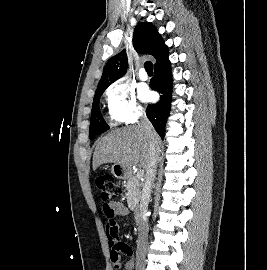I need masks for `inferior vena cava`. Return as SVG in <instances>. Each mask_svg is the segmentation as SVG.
<instances>
[{"label":"inferior vena cava","mask_w":267,"mask_h":270,"mask_svg":"<svg viewBox=\"0 0 267 270\" xmlns=\"http://www.w3.org/2000/svg\"><path fill=\"white\" fill-rule=\"evenodd\" d=\"M138 125L145 131L149 139L150 145V160L148 167L146 169L145 182L142 189L141 202L138 211L140 219L138 226L139 234L137 241L138 243H137L136 259L137 263H143L145 258L144 250L146 248L149 230L147 221L148 204L151 197V188L156 178L157 163L160 156V148L157 145L156 132L153 129V126L150 123L149 119L144 113L140 115V121L138 122Z\"/></svg>","instance_id":"obj_1"}]
</instances>
